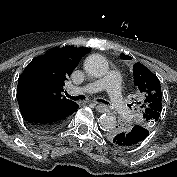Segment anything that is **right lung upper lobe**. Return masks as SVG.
Masks as SVG:
<instances>
[{
  "mask_svg": "<svg viewBox=\"0 0 177 177\" xmlns=\"http://www.w3.org/2000/svg\"><path fill=\"white\" fill-rule=\"evenodd\" d=\"M89 48L66 46L47 51L32 60L18 79V103L70 107L75 102L62 97L65 81Z\"/></svg>",
  "mask_w": 177,
  "mask_h": 177,
  "instance_id": "cb5924a9",
  "label": "right lung upper lobe"
}]
</instances>
